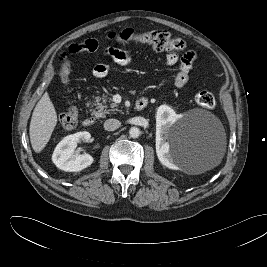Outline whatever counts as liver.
Instances as JSON below:
<instances>
[{"label":"liver","mask_w":267,"mask_h":267,"mask_svg":"<svg viewBox=\"0 0 267 267\" xmlns=\"http://www.w3.org/2000/svg\"><path fill=\"white\" fill-rule=\"evenodd\" d=\"M56 124L55 107L48 93H44L33 110L29 128L31 145L36 153H40L45 148Z\"/></svg>","instance_id":"liver-1"}]
</instances>
